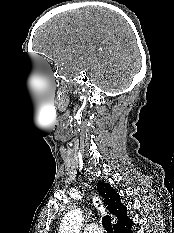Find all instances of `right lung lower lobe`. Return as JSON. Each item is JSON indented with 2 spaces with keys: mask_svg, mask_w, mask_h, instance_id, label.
Segmentation results:
<instances>
[{
  "mask_svg": "<svg viewBox=\"0 0 174 233\" xmlns=\"http://www.w3.org/2000/svg\"><path fill=\"white\" fill-rule=\"evenodd\" d=\"M131 226H132V223L126 226L123 230L118 231L117 233H132Z\"/></svg>",
  "mask_w": 174,
  "mask_h": 233,
  "instance_id": "98d812e1",
  "label": "right lung lower lobe"
}]
</instances>
